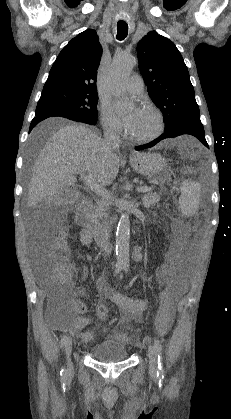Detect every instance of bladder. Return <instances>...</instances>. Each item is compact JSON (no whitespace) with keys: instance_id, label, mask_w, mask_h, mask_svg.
I'll list each match as a JSON object with an SVG mask.
<instances>
[{"instance_id":"bladder-1","label":"bladder","mask_w":231,"mask_h":419,"mask_svg":"<svg viewBox=\"0 0 231 419\" xmlns=\"http://www.w3.org/2000/svg\"><path fill=\"white\" fill-rule=\"evenodd\" d=\"M127 347L117 339L103 340L93 350V358L98 362H120L128 358Z\"/></svg>"}]
</instances>
